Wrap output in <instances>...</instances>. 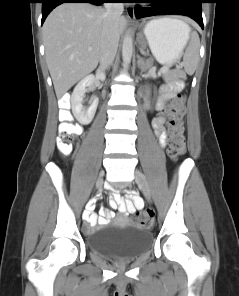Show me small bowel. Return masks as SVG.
<instances>
[{"label": "small bowel", "mask_w": 239, "mask_h": 296, "mask_svg": "<svg viewBox=\"0 0 239 296\" xmlns=\"http://www.w3.org/2000/svg\"><path fill=\"white\" fill-rule=\"evenodd\" d=\"M182 89L181 83L168 84L164 85L161 88L160 96L158 98L156 108L161 113L155 117L152 121V127L155 134L159 138V141L162 146L166 144V129H165V117L162 114L166 103L173 99L176 96V93ZM110 207L112 209H117L125 218L132 215L137 209H140L144 206L143 200L138 196L136 192H129L126 194V199H124L120 193H113L109 201ZM114 213L111 210L105 209L102 210L101 215L98 216L95 213H86V219L90 223V226L87 231L89 233L93 232V228L96 225L107 224L111 218H113Z\"/></svg>", "instance_id": "small-bowel-1"}]
</instances>
